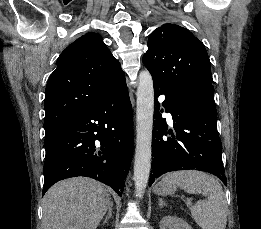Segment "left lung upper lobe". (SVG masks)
<instances>
[{"label": "left lung upper lobe", "instance_id": "left-lung-upper-lobe-1", "mask_svg": "<svg viewBox=\"0 0 261 229\" xmlns=\"http://www.w3.org/2000/svg\"><path fill=\"white\" fill-rule=\"evenodd\" d=\"M143 63L153 82L214 99L211 66L204 45L187 29L164 24L149 36Z\"/></svg>", "mask_w": 261, "mask_h": 229}]
</instances>
